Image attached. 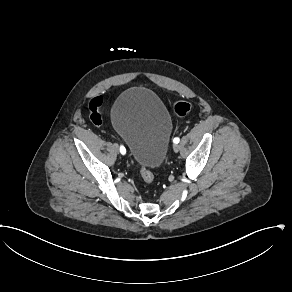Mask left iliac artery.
<instances>
[{
    "label": "left iliac artery",
    "instance_id": "obj_1",
    "mask_svg": "<svg viewBox=\"0 0 292 292\" xmlns=\"http://www.w3.org/2000/svg\"><path fill=\"white\" fill-rule=\"evenodd\" d=\"M179 141H180V139H179L178 137H175V138L173 139V142H174L175 144L179 143Z\"/></svg>",
    "mask_w": 292,
    "mask_h": 292
}]
</instances>
